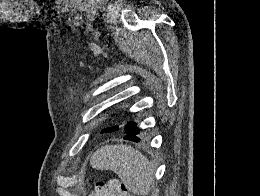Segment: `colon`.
Returning <instances> with one entry per match:
<instances>
[{
    "label": "colon",
    "mask_w": 260,
    "mask_h": 196,
    "mask_svg": "<svg viewBox=\"0 0 260 196\" xmlns=\"http://www.w3.org/2000/svg\"><path fill=\"white\" fill-rule=\"evenodd\" d=\"M112 194L115 196L116 194L114 192H112Z\"/></svg>",
    "instance_id": "5ec220e1"
}]
</instances>
